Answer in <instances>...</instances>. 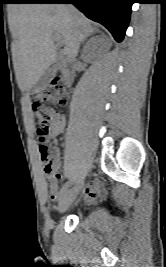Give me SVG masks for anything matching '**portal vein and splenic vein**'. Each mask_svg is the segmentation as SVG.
<instances>
[{"label": "portal vein and splenic vein", "instance_id": "18ae733b", "mask_svg": "<svg viewBox=\"0 0 166 267\" xmlns=\"http://www.w3.org/2000/svg\"><path fill=\"white\" fill-rule=\"evenodd\" d=\"M54 38L58 42V44L64 43L63 40H62V38H61V36H59L58 34H55L54 35Z\"/></svg>", "mask_w": 166, "mask_h": 267}]
</instances>
